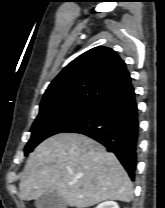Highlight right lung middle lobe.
Listing matches in <instances>:
<instances>
[{
    "mask_svg": "<svg viewBox=\"0 0 165 208\" xmlns=\"http://www.w3.org/2000/svg\"><path fill=\"white\" fill-rule=\"evenodd\" d=\"M94 106V103L65 102L40 108L31 128V138L25 147V155L44 139L65 132L76 125L92 111Z\"/></svg>",
    "mask_w": 165,
    "mask_h": 208,
    "instance_id": "dd1d6c3e",
    "label": "right lung middle lobe"
}]
</instances>
